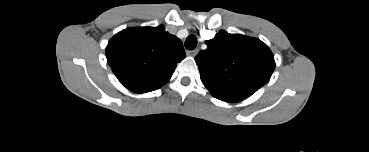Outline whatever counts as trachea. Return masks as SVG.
Masks as SVG:
<instances>
[{
	"mask_svg": "<svg viewBox=\"0 0 369 152\" xmlns=\"http://www.w3.org/2000/svg\"><path fill=\"white\" fill-rule=\"evenodd\" d=\"M197 46V38L195 35L191 34L185 41V48L188 50H193Z\"/></svg>",
	"mask_w": 369,
	"mask_h": 152,
	"instance_id": "obj_1",
	"label": "trachea"
}]
</instances>
